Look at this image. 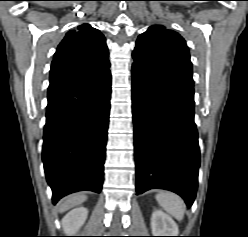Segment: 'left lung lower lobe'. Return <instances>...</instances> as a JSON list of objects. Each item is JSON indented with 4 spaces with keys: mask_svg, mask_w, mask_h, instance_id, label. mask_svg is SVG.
Returning <instances> with one entry per match:
<instances>
[{
    "mask_svg": "<svg viewBox=\"0 0 248 237\" xmlns=\"http://www.w3.org/2000/svg\"><path fill=\"white\" fill-rule=\"evenodd\" d=\"M132 109L137 193L170 190L190 207L200 166L193 87L168 82L133 63Z\"/></svg>",
    "mask_w": 248,
    "mask_h": 237,
    "instance_id": "obj_1",
    "label": "left lung lower lobe"
}]
</instances>
